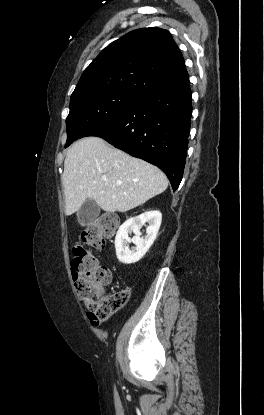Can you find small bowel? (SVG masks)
Returning a JSON list of instances; mask_svg holds the SVG:
<instances>
[{"label": "small bowel", "mask_w": 264, "mask_h": 415, "mask_svg": "<svg viewBox=\"0 0 264 415\" xmlns=\"http://www.w3.org/2000/svg\"><path fill=\"white\" fill-rule=\"evenodd\" d=\"M72 279L77 283L79 280V275L78 274H73L72 273Z\"/></svg>", "instance_id": "c3829d8e"}]
</instances>
